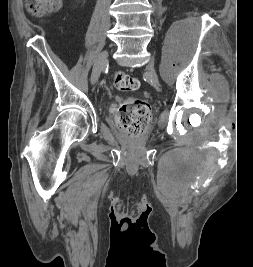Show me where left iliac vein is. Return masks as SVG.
Here are the masks:
<instances>
[{"label":"left iliac vein","mask_w":253,"mask_h":267,"mask_svg":"<svg viewBox=\"0 0 253 267\" xmlns=\"http://www.w3.org/2000/svg\"><path fill=\"white\" fill-rule=\"evenodd\" d=\"M148 68H149V70H148L149 75L151 76V79H150L151 84H153V85L158 84V79L156 78L155 71H154V65L152 62H150L148 64Z\"/></svg>","instance_id":"1"}]
</instances>
